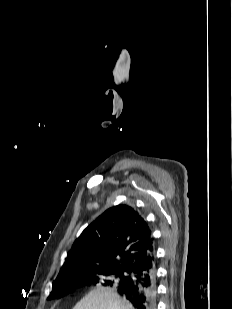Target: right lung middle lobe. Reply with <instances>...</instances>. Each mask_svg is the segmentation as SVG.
Here are the masks:
<instances>
[{"label": "right lung middle lobe", "instance_id": "right-lung-middle-lobe-1", "mask_svg": "<svg viewBox=\"0 0 232 309\" xmlns=\"http://www.w3.org/2000/svg\"><path fill=\"white\" fill-rule=\"evenodd\" d=\"M127 279V273L123 270H98L94 272L84 273L73 280L58 283L53 286L51 295L53 297L61 298L77 287L82 285H96L110 286L116 288Z\"/></svg>", "mask_w": 232, "mask_h": 309}]
</instances>
